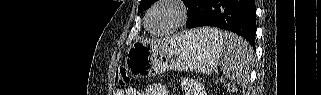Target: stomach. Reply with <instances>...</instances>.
<instances>
[{
  "mask_svg": "<svg viewBox=\"0 0 321 95\" xmlns=\"http://www.w3.org/2000/svg\"><path fill=\"white\" fill-rule=\"evenodd\" d=\"M222 51V43L198 29L166 40L135 41L127 50L125 64L132 74L139 77L168 70L207 74L217 66Z\"/></svg>",
  "mask_w": 321,
  "mask_h": 95,
  "instance_id": "1",
  "label": "stomach"
}]
</instances>
